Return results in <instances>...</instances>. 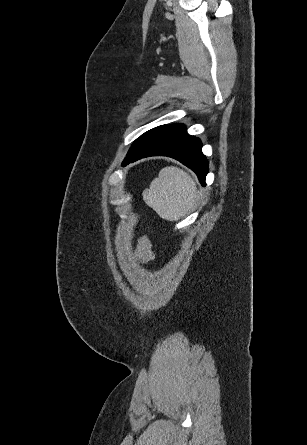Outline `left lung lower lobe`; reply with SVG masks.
Listing matches in <instances>:
<instances>
[{
  "mask_svg": "<svg viewBox=\"0 0 307 445\" xmlns=\"http://www.w3.org/2000/svg\"><path fill=\"white\" fill-rule=\"evenodd\" d=\"M201 147L200 139L188 135L183 124H172L144 142L122 166L148 156H169L192 169L205 186L208 161L202 154Z\"/></svg>",
  "mask_w": 307,
  "mask_h": 445,
  "instance_id": "0a47b994",
  "label": "left lung lower lobe"
}]
</instances>
